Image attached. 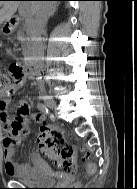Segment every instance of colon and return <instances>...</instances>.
<instances>
[{
    "mask_svg": "<svg viewBox=\"0 0 137 189\" xmlns=\"http://www.w3.org/2000/svg\"><path fill=\"white\" fill-rule=\"evenodd\" d=\"M23 77V70L19 66H11L8 72L0 70V97L11 95L19 85ZM29 108H22L21 112L27 115ZM13 134H21L24 131L23 121L14 120L10 125ZM38 146L42 154L60 171L72 173L75 167V147L64 142V130L54 125L43 124L37 135ZM88 160V156H84ZM88 172H94V166L88 165Z\"/></svg>",
    "mask_w": 137,
    "mask_h": 189,
    "instance_id": "colon-1",
    "label": "colon"
}]
</instances>
